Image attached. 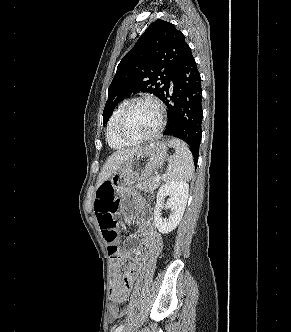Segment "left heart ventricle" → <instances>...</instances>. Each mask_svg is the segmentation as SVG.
<instances>
[{
	"mask_svg": "<svg viewBox=\"0 0 291 332\" xmlns=\"http://www.w3.org/2000/svg\"><path fill=\"white\" fill-rule=\"evenodd\" d=\"M158 126V113L154 105L147 102L135 104L124 121V132L133 138L150 135Z\"/></svg>",
	"mask_w": 291,
	"mask_h": 332,
	"instance_id": "obj_1",
	"label": "left heart ventricle"
}]
</instances>
